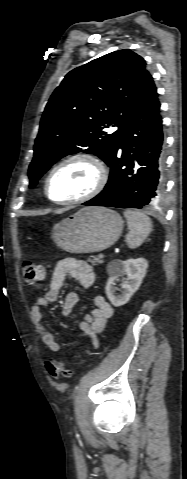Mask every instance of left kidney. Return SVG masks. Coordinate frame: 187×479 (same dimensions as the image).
I'll return each instance as SVG.
<instances>
[{
	"instance_id": "obj_1",
	"label": "left kidney",
	"mask_w": 187,
	"mask_h": 479,
	"mask_svg": "<svg viewBox=\"0 0 187 479\" xmlns=\"http://www.w3.org/2000/svg\"><path fill=\"white\" fill-rule=\"evenodd\" d=\"M148 262L144 258L128 259V260H112L107 266L109 279L107 281L105 291L108 299L115 307L126 304L132 295L140 287L143 278L146 275ZM127 276L122 285L123 291L121 296H116L115 284L119 281V277Z\"/></svg>"
}]
</instances>
